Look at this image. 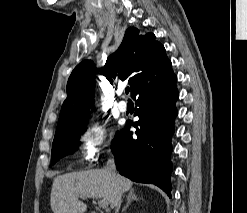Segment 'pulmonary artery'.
Wrapping results in <instances>:
<instances>
[{
  "mask_svg": "<svg viewBox=\"0 0 247 213\" xmlns=\"http://www.w3.org/2000/svg\"><path fill=\"white\" fill-rule=\"evenodd\" d=\"M118 95H119V96L122 95V90H120V91L118 92ZM117 108H118V110L121 111V112H126L127 109H128V105H127L126 101L120 100V101L117 103Z\"/></svg>",
  "mask_w": 247,
  "mask_h": 213,
  "instance_id": "pulmonary-artery-1",
  "label": "pulmonary artery"
}]
</instances>
